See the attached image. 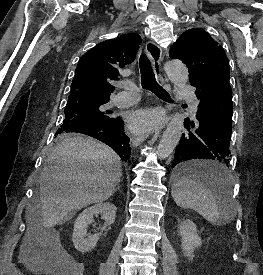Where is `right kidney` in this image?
<instances>
[{
    "label": "right kidney",
    "mask_w": 263,
    "mask_h": 275,
    "mask_svg": "<svg viewBox=\"0 0 263 275\" xmlns=\"http://www.w3.org/2000/svg\"><path fill=\"white\" fill-rule=\"evenodd\" d=\"M117 208L111 203H99L85 209L75 220L72 241L75 248L84 253L94 249L99 240L100 234L87 236V226L92 223L93 216L100 214L106 225L113 224Z\"/></svg>",
    "instance_id": "1"
}]
</instances>
